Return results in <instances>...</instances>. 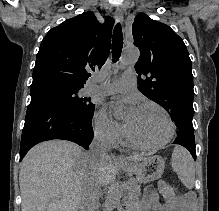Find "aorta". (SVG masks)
<instances>
[{
  "label": "aorta",
  "instance_id": "762f6f07",
  "mask_svg": "<svg viewBox=\"0 0 219 211\" xmlns=\"http://www.w3.org/2000/svg\"><path fill=\"white\" fill-rule=\"evenodd\" d=\"M139 58V50L134 47H128L124 50L120 62L122 66L134 64ZM123 190L119 185L113 186L106 198L105 208L107 211H113L120 205Z\"/></svg>",
  "mask_w": 219,
  "mask_h": 211
}]
</instances>
